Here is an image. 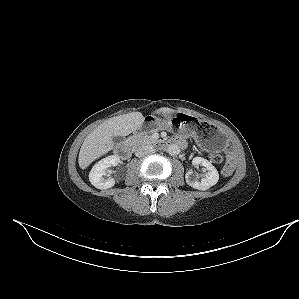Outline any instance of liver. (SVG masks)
<instances>
[{"label":"liver","instance_id":"obj_1","mask_svg":"<svg viewBox=\"0 0 299 299\" xmlns=\"http://www.w3.org/2000/svg\"><path fill=\"white\" fill-rule=\"evenodd\" d=\"M157 113L172 114L175 110L167 107L156 110ZM144 117L140 112H131L112 117L91 133L83 141L79 152L78 163L81 169L87 168L93 161L113 149V136L125 137L140 129Z\"/></svg>","mask_w":299,"mask_h":299}]
</instances>
